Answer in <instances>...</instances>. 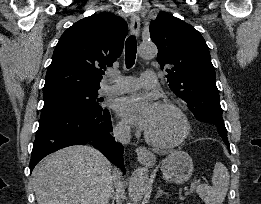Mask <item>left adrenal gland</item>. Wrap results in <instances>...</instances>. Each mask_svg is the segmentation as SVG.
Wrapping results in <instances>:
<instances>
[{"instance_id": "obj_1", "label": "left adrenal gland", "mask_w": 261, "mask_h": 204, "mask_svg": "<svg viewBox=\"0 0 261 204\" xmlns=\"http://www.w3.org/2000/svg\"><path fill=\"white\" fill-rule=\"evenodd\" d=\"M163 194H167L166 192L162 191L161 188L159 187L158 188V191H157V195H156V199L159 198L161 195Z\"/></svg>"}]
</instances>
